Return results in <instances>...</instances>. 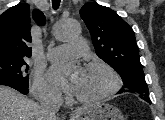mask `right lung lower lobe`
I'll return each instance as SVG.
<instances>
[{"label": "right lung lower lobe", "mask_w": 165, "mask_h": 120, "mask_svg": "<svg viewBox=\"0 0 165 120\" xmlns=\"http://www.w3.org/2000/svg\"><path fill=\"white\" fill-rule=\"evenodd\" d=\"M0 85H6V86H9V87H12V88L18 90L19 92H21L24 95H27L28 92H29L27 86H22V85L17 84V83L0 82Z\"/></svg>", "instance_id": "1"}]
</instances>
